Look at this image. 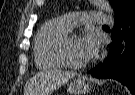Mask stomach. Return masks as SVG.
Segmentation results:
<instances>
[{
  "label": "stomach",
  "mask_w": 135,
  "mask_h": 95,
  "mask_svg": "<svg viewBox=\"0 0 135 95\" xmlns=\"http://www.w3.org/2000/svg\"><path fill=\"white\" fill-rule=\"evenodd\" d=\"M89 90V84L85 78H77L70 82L68 91L71 95H85Z\"/></svg>",
  "instance_id": "1"
}]
</instances>
